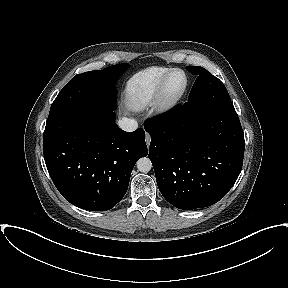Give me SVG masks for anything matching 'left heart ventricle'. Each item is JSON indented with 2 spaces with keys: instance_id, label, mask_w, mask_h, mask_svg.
<instances>
[{
  "instance_id": "1",
  "label": "left heart ventricle",
  "mask_w": 288,
  "mask_h": 288,
  "mask_svg": "<svg viewBox=\"0 0 288 288\" xmlns=\"http://www.w3.org/2000/svg\"><path fill=\"white\" fill-rule=\"evenodd\" d=\"M183 81H184L183 75L179 72L175 73L171 77L169 85H168L169 92L170 93L177 92L181 88Z\"/></svg>"
}]
</instances>
